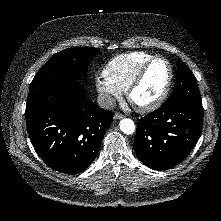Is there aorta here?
Instances as JSON below:
<instances>
[{
  "instance_id": "aorta-1",
  "label": "aorta",
  "mask_w": 221,
  "mask_h": 221,
  "mask_svg": "<svg viewBox=\"0 0 221 221\" xmlns=\"http://www.w3.org/2000/svg\"><path fill=\"white\" fill-rule=\"evenodd\" d=\"M119 126L120 130L127 135L133 134L135 131V124L129 118L122 119L119 123Z\"/></svg>"
}]
</instances>
